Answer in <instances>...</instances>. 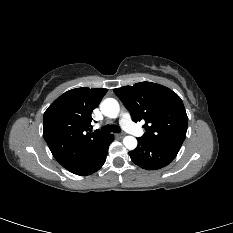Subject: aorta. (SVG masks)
<instances>
[{"label": "aorta", "instance_id": "obj_1", "mask_svg": "<svg viewBox=\"0 0 233 233\" xmlns=\"http://www.w3.org/2000/svg\"><path fill=\"white\" fill-rule=\"evenodd\" d=\"M100 110L109 118H117L120 112L119 103L113 98H106L101 102ZM123 144L128 150H134L137 147V139L133 136H126Z\"/></svg>", "mask_w": 233, "mask_h": 233}]
</instances>
